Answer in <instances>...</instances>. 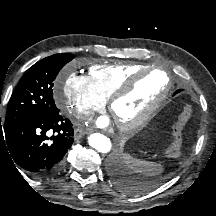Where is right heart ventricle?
<instances>
[{"instance_id":"right-heart-ventricle-1","label":"right heart ventricle","mask_w":216,"mask_h":216,"mask_svg":"<svg viewBox=\"0 0 216 216\" xmlns=\"http://www.w3.org/2000/svg\"><path fill=\"white\" fill-rule=\"evenodd\" d=\"M142 68L137 63L96 64L89 68V78L95 90L108 100L119 85Z\"/></svg>"}]
</instances>
